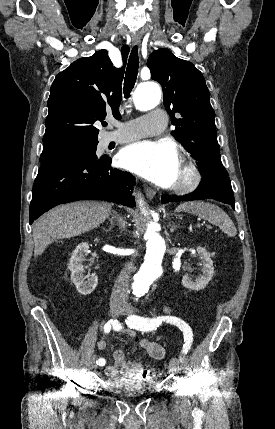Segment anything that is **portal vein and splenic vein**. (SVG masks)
<instances>
[{"label": "portal vein and splenic vein", "instance_id": "portal-vein-and-splenic-vein-1", "mask_svg": "<svg viewBox=\"0 0 275 429\" xmlns=\"http://www.w3.org/2000/svg\"><path fill=\"white\" fill-rule=\"evenodd\" d=\"M207 228H208V229H212V226H211V225H207Z\"/></svg>", "mask_w": 275, "mask_h": 429}]
</instances>
